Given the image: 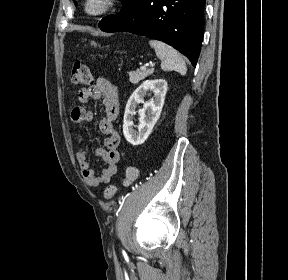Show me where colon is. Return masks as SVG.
Here are the masks:
<instances>
[{"instance_id": "1", "label": "colon", "mask_w": 288, "mask_h": 280, "mask_svg": "<svg viewBox=\"0 0 288 280\" xmlns=\"http://www.w3.org/2000/svg\"><path fill=\"white\" fill-rule=\"evenodd\" d=\"M71 80L75 84L80 85H90L93 80L92 72L89 66L76 61L72 67ZM139 172L135 166H128L125 170V176L122 181L124 187L132 185L138 178ZM118 191V186L111 184L104 189V197L107 200H111L116 192Z\"/></svg>"}]
</instances>
